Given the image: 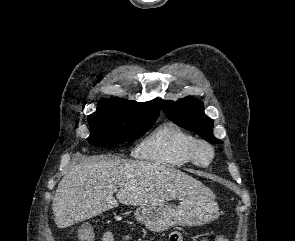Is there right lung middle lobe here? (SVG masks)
I'll return each instance as SVG.
<instances>
[{"label":"right lung middle lobe","instance_id":"right-lung-middle-lobe-1","mask_svg":"<svg viewBox=\"0 0 295 241\" xmlns=\"http://www.w3.org/2000/svg\"><path fill=\"white\" fill-rule=\"evenodd\" d=\"M156 115L129 107L121 102L103 99L95 113L88 116L89 143L113 146L144 135L157 120Z\"/></svg>","mask_w":295,"mask_h":241}]
</instances>
